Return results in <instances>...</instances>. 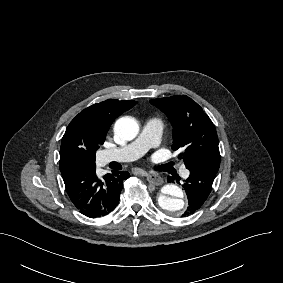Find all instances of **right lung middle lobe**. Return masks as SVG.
I'll return each instance as SVG.
<instances>
[{"label":"right lung middle lobe","instance_id":"obj_1","mask_svg":"<svg viewBox=\"0 0 283 283\" xmlns=\"http://www.w3.org/2000/svg\"><path fill=\"white\" fill-rule=\"evenodd\" d=\"M106 136L77 135L63 136L60 149V171L78 166L95 165V153L104 143Z\"/></svg>","mask_w":283,"mask_h":283}]
</instances>
